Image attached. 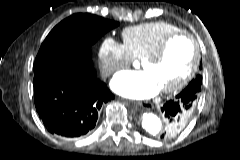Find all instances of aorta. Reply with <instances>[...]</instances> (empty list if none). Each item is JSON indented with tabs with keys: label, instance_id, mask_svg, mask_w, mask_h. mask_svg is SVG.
<instances>
[{
	"label": "aorta",
	"instance_id": "obj_1",
	"mask_svg": "<svg viewBox=\"0 0 240 160\" xmlns=\"http://www.w3.org/2000/svg\"><path fill=\"white\" fill-rule=\"evenodd\" d=\"M141 125L145 132L150 136H158L162 131L161 119L152 112H144L141 116Z\"/></svg>",
	"mask_w": 240,
	"mask_h": 160
}]
</instances>
